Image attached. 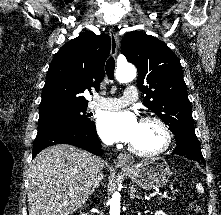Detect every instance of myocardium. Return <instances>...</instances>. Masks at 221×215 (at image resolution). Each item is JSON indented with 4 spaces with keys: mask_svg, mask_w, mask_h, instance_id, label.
I'll list each match as a JSON object with an SVG mask.
<instances>
[{
    "mask_svg": "<svg viewBox=\"0 0 221 215\" xmlns=\"http://www.w3.org/2000/svg\"><path fill=\"white\" fill-rule=\"evenodd\" d=\"M140 122H153L157 124L162 130V133L164 136V142L160 148L156 150H152V151H143L134 147L131 144L129 145V150L133 154L141 156V157H154V156H158L166 152L172 144V133H171L169 126L166 124V122L162 120L160 117L152 116V115L142 117L140 119Z\"/></svg>",
    "mask_w": 221,
    "mask_h": 215,
    "instance_id": "obj_1",
    "label": "myocardium"
}]
</instances>
